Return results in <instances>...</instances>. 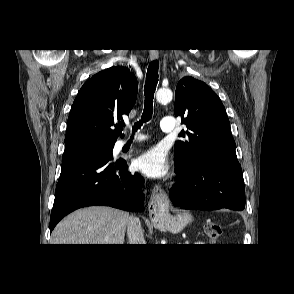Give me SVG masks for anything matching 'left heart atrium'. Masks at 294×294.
<instances>
[{"label":"left heart atrium","mask_w":294,"mask_h":294,"mask_svg":"<svg viewBox=\"0 0 294 294\" xmlns=\"http://www.w3.org/2000/svg\"><path fill=\"white\" fill-rule=\"evenodd\" d=\"M136 165L143 174L153 178L163 177L169 171L167 154L160 146H155L140 154Z\"/></svg>","instance_id":"obj_1"}]
</instances>
